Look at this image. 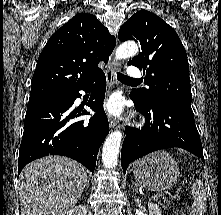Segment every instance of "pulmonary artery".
Masks as SVG:
<instances>
[{"label":"pulmonary artery","instance_id":"e3ab8cb5","mask_svg":"<svg viewBox=\"0 0 221 215\" xmlns=\"http://www.w3.org/2000/svg\"><path fill=\"white\" fill-rule=\"evenodd\" d=\"M128 75L132 79L140 78L142 76V72L140 71L139 68H137L135 66H131L128 69Z\"/></svg>","mask_w":221,"mask_h":215}]
</instances>
